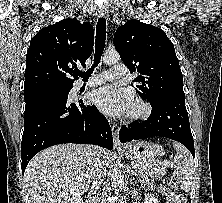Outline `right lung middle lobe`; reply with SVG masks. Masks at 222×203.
I'll return each mask as SVG.
<instances>
[{"label": "right lung middle lobe", "instance_id": "dd1d6c3e", "mask_svg": "<svg viewBox=\"0 0 222 203\" xmlns=\"http://www.w3.org/2000/svg\"><path fill=\"white\" fill-rule=\"evenodd\" d=\"M69 88H70V86L41 90V91H37V92H33V93L24 94V98H25V100H27V99L32 98L34 96L44 95V94H48V93H55V92H64L65 93L68 91Z\"/></svg>", "mask_w": 222, "mask_h": 203}]
</instances>
